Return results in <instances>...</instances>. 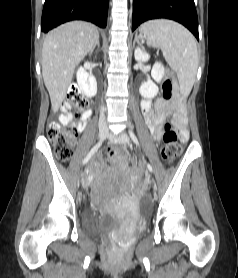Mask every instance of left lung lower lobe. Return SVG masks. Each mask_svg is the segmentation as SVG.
Instances as JSON below:
<instances>
[{
	"label": "left lung lower lobe",
	"mask_w": 238,
	"mask_h": 278,
	"mask_svg": "<svg viewBox=\"0 0 238 278\" xmlns=\"http://www.w3.org/2000/svg\"><path fill=\"white\" fill-rule=\"evenodd\" d=\"M157 18H167L183 24L199 40L194 0H133L132 31L141 23Z\"/></svg>",
	"instance_id": "obj_1"
}]
</instances>
